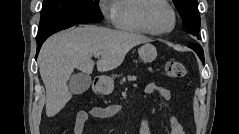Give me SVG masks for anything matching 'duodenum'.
I'll return each mask as SVG.
<instances>
[{
  "instance_id": "410a0bca",
  "label": "duodenum",
  "mask_w": 239,
  "mask_h": 134,
  "mask_svg": "<svg viewBox=\"0 0 239 134\" xmlns=\"http://www.w3.org/2000/svg\"><path fill=\"white\" fill-rule=\"evenodd\" d=\"M96 86H97V89L100 90L102 89L103 87V81L101 78H96Z\"/></svg>"
}]
</instances>
